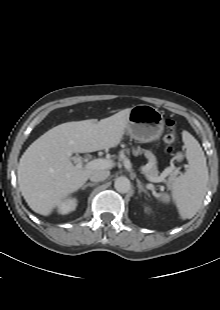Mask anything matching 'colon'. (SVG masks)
I'll use <instances>...</instances> for the list:
<instances>
[{"instance_id":"5ec220e1","label":"colon","mask_w":220,"mask_h":310,"mask_svg":"<svg viewBox=\"0 0 220 310\" xmlns=\"http://www.w3.org/2000/svg\"><path fill=\"white\" fill-rule=\"evenodd\" d=\"M167 133L164 136L165 149L168 153L174 151V145L177 140L176 123L172 119L166 121Z\"/></svg>"}]
</instances>
